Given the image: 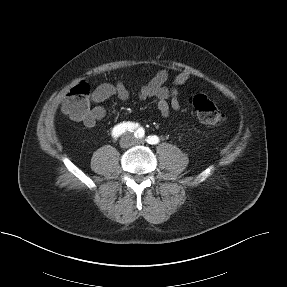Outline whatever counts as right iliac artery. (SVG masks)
<instances>
[{
  "label": "right iliac artery",
  "instance_id": "right-iliac-artery-1",
  "mask_svg": "<svg viewBox=\"0 0 287 287\" xmlns=\"http://www.w3.org/2000/svg\"><path fill=\"white\" fill-rule=\"evenodd\" d=\"M134 130H136L134 133L135 137H137V138L144 137L145 132H144L143 128L138 127V124H135L132 122L120 123V124L116 125L112 130V136L114 138H118L119 136L124 134L126 131L133 132Z\"/></svg>",
  "mask_w": 287,
  "mask_h": 287
}]
</instances>
